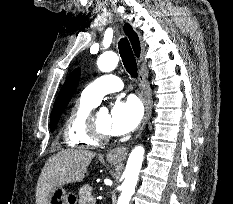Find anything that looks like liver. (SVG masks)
<instances>
[{
    "label": "liver",
    "mask_w": 233,
    "mask_h": 204,
    "mask_svg": "<svg viewBox=\"0 0 233 204\" xmlns=\"http://www.w3.org/2000/svg\"><path fill=\"white\" fill-rule=\"evenodd\" d=\"M95 153L81 149H67L51 156L37 181L36 204H48L52 191L66 184L81 182Z\"/></svg>",
    "instance_id": "6515ba94"
}]
</instances>
